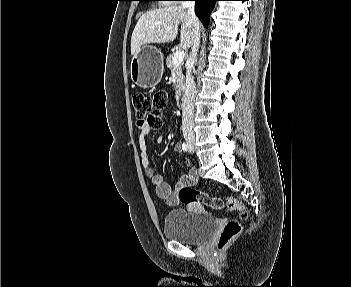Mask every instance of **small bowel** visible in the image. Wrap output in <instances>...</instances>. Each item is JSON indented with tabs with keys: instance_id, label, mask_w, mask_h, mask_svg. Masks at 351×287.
I'll return each mask as SVG.
<instances>
[{
	"instance_id": "obj_1",
	"label": "small bowel",
	"mask_w": 351,
	"mask_h": 287,
	"mask_svg": "<svg viewBox=\"0 0 351 287\" xmlns=\"http://www.w3.org/2000/svg\"><path fill=\"white\" fill-rule=\"evenodd\" d=\"M138 127H139V152H140L142 166L145 172L151 178L155 186L158 197L164 200L168 205H177L179 202L178 193L180 189L185 186H193L197 183L198 177H197L196 171L192 167V165L189 162H187L186 163L187 173L179 178V180L176 183V189L173 190L171 186L164 181L163 177L160 174L156 173L155 167L149 159L148 136L152 128H150L147 125V120H138ZM162 141H163V136H158L156 138L157 143H161ZM174 150L176 152H181L183 150L182 144L179 142L176 143L174 146Z\"/></svg>"
}]
</instances>
